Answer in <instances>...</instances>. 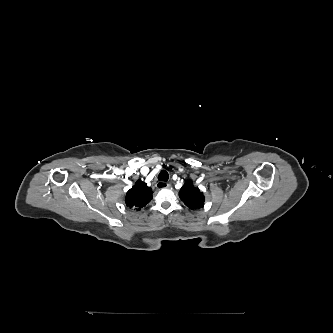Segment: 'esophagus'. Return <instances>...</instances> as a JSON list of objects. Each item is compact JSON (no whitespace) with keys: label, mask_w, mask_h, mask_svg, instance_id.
<instances>
[{"label":"esophagus","mask_w":333,"mask_h":333,"mask_svg":"<svg viewBox=\"0 0 333 333\" xmlns=\"http://www.w3.org/2000/svg\"><path fill=\"white\" fill-rule=\"evenodd\" d=\"M156 187H157L158 189L169 188V187H170V184L167 183V182H165V181H158V182L156 183Z\"/></svg>","instance_id":"34e87169"}]
</instances>
